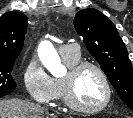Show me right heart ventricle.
I'll return each mask as SVG.
<instances>
[{"instance_id": "obj_1", "label": "right heart ventricle", "mask_w": 133, "mask_h": 118, "mask_svg": "<svg viewBox=\"0 0 133 118\" xmlns=\"http://www.w3.org/2000/svg\"><path fill=\"white\" fill-rule=\"evenodd\" d=\"M62 58L68 67H71L81 61L80 53L74 56H62ZM53 81L55 85V98L63 99L62 78H54Z\"/></svg>"}]
</instances>
